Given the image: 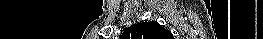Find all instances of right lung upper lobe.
<instances>
[{
	"mask_svg": "<svg viewBox=\"0 0 263 39\" xmlns=\"http://www.w3.org/2000/svg\"><path fill=\"white\" fill-rule=\"evenodd\" d=\"M128 36L134 39H171L172 33L157 22L134 24L125 30Z\"/></svg>",
	"mask_w": 263,
	"mask_h": 39,
	"instance_id": "cb5924a9",
	"label": "right lung upper lobe"
}]
</instances>
